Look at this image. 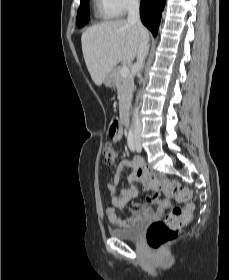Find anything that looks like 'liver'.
<instances>
[{"label":"liver","mask_w":229,"mask_h":280,"mask_svg":"<svg viewBox=\"0 0 229 280\" xmlns=\"http://www.w3.org/2000/svg\"><path fill=\"white\" fill-rule=\"evenodd\" d=\"M148 31L126 20L106 21L89 27L81 37L82 51L93 82L101 86L119 63H131Z\"/></svg>","instance_id":"1"}]
</instances>
